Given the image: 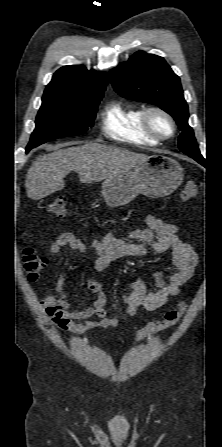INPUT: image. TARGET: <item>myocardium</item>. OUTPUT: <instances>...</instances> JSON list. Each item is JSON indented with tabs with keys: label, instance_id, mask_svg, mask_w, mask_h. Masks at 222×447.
I'll list each match as a JSON object with an SVG mask.
<instances>
[{
	"label": "myocardium",
	"instance_id": "f54148a6",
	"mask_svg": "<svg viewBox=\"0 0 222 447\" xmlns=\"http://www.w3.org/2000/svg\"><path fill=\"white\" fill-rule=\"evenodd\" d=\"M154 115H160V116L164 117L169 122V124L171 126V131L169 134L163 135L155 130V128L152 125V117ZM142 126H143L144 130L149 135L156 138L157 140L169 139L176 133V130H177L176 122H175L173 116L166 110H164L160 107H156V106L149 107L143 111Z\"/></svg>",
	"mask_w": 222,
	"mask_h": 447
}]
</instances>
